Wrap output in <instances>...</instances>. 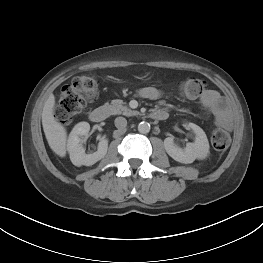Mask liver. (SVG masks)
<instances>
[{
	"label": "liver",
	"instance_id": "1",
	"mask_svg": "<svg viewBox=\"0 0 263 263\" xmlns=\"http://www.w3.org/2000/svg\"><path fill=\"white\" fill-rule=\"evenodd\" d=\"M55 97L50 94L42 111L43 130L50 148L60 157L66 155L67 132L54 117Z\"/></svg>",
	"mask_w": 263,
	"mask_h": 263
}]
</instances>
